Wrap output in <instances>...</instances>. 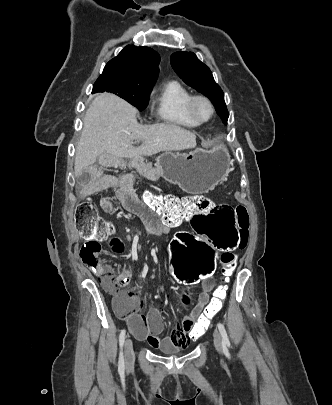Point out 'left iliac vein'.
<instances>
[{"label": "left iliac vein", "mask_w": 332, "mask_h": 405, "mask_svg": "<svg viewBox=\"0 0 332 405\" xmlns=\"http://www.w3.org/2000/svg\"><path fill=\"white\" fill-rule=\"evenodd\" d=\"M213 340H214V346L217 350V352L222 353V341H221V336L217 330L213 332Z\"/></svg>", "instance_id": "obj_1"}]
</instances>
